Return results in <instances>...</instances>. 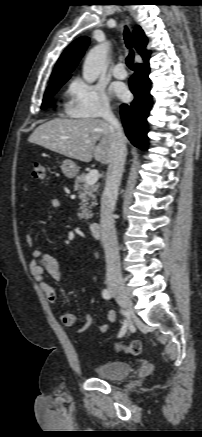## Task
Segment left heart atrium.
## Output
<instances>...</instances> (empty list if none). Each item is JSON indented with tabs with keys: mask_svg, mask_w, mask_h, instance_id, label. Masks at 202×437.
Here are the masks:
<instances>
[{
	"mask_svg": "<svg viewBox=\"0 0 202 437\" xmlns=\"http://www.w3.org/2000/svg\"><path fill=\"white\" fill-rule=\"evenodd\" d=\"M113 91L120 99H125L128 96V91L123 85L113 86Z\"/></svg>",
	"mask_w": 202,
	"mask_h": 437,
	"instance_id": "left-heart-atrium-1",
	"label": "left heart atrium"
}]
</instances>
